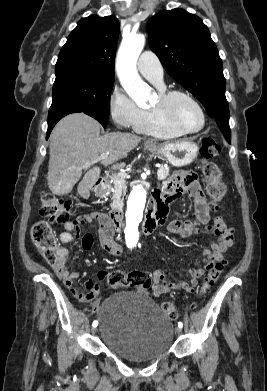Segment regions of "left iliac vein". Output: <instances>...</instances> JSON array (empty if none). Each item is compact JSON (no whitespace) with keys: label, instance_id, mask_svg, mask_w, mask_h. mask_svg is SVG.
Masks as SVG:
<instances>
[{"label":"left iliac vein","instance_id":"left-iliac-vein-1","mask_svg":"<svg viewBox=\"0 0 267 391\" xmlns=\"http://www.w3.org/2000/svg\"><path fill=\"white\" fill-rule=\"evenodd\" d=\"M176 333L177 334H181L182 333V328H180V327H176Z\"/></svg>","mask_w":267,"mask_h":391}]
</instances>
